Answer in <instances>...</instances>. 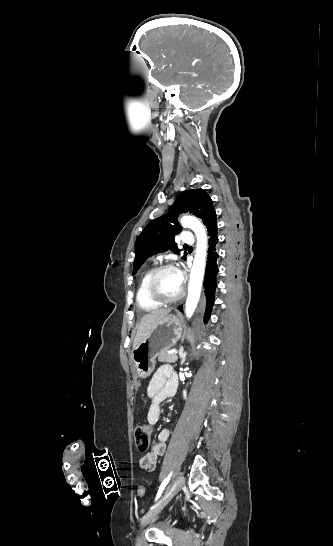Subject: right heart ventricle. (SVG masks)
<instances>
[{"label": "right heart ventricle", "instance_id": "obj_1", "mask_svg": "<svg viewBox=\"0 0 333 546\" xmlns=\"http://www.w3.org/2000/svg\"><path fill=\"white\" fill-rule=\"evenodd\" d=\"M152 272V269H148L141 277L137 292H136V301L139 308L144 311H153L158 309L161 304L153 301L147 293V280Z\"/></svg>", "mask_w": 333, "mask_h": 546}]
</instances>
